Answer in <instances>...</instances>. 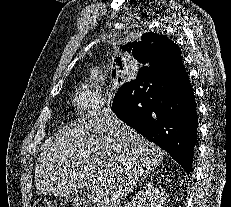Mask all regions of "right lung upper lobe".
Here are the masks:
<instances>
[{
    "instance_id": "obj_1",
    "label": "right lung upper lobe",
    "mask_w": 231,
    "mask_h": 207,
    "mask_svg": "<svg viewBox=\"0 0 231 207\" xmlns=\"http://www.w3.org/2000/svg\"><path fill=\"white\" fill-rule=\"evenodd\" d=\"M141 39L140 42L119 46L123 57L116 59L118 65L124 61L125 55L132 54L134 58L146 66L159 65L166 70L183 66L179 47L167 36L149 32L145 33Z\"/></svg>"
}]
</instances>
